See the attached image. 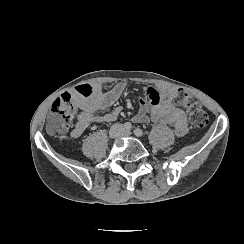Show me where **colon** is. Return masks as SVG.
Returning a JSON list of instances; mask_svg holds the SVG:
<instances>
[{
    "label": "colon",
    "instance_id": "colon-1",
    "mask_svg": "<svg viewBox=\"0 0 244 244\" xmlns=\"http://www.w3.org/2000/svg\"><path fill=\"white\" fill-rule=\"evenodd\" d=\"M79 95L90 97L93 89L90 86L79 84L76 87ZM175 103L189 112V121L195 128L202 129L207 126L208 115L198 100L187 91H178L175 96ZM77 109L71 102L68 93L56 97L51 105V113L47 121V129L52 133H65L71 126Z\"/></svg>",
    "mask_w": 244,
    "mask_h": 244
}]
</instances>
